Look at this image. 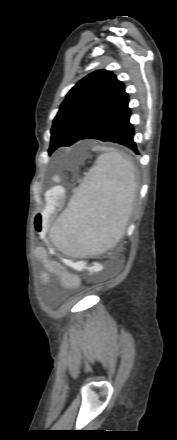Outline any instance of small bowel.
Instances as JSON below:
<instances>
[{"mask_svg":"<svg viewBox=\"0 0 177 440\" xmlns=\"http://www.w3.org/2000/svg\"><path fill=\"white\" fill-rule=\"evenodd\" d=\"M44 230L45 225L42 227L41 230L38 231L39 233H43ZM36 254L37 257L43 261L47 270V272H44L41 275L43 283L47 284L49 282L50 273L57 275L60 278L62 285L66 288H76L78 286V277L75 275H69L61 262L48 258L45 249L38 248Z\"/></svg>","mask_w":177,"mask_h":440,"instance_id":"small-bowel-1","label":"small bowel"}]
</instances>
